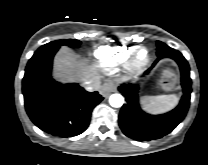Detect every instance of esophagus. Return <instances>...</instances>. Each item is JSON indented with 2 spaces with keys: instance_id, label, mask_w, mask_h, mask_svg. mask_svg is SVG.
Segmentation results:
<instances>
[{
  "instance_id": "34e87169",
  "label": "esophagus",
  "mask_w": 208,
  "mask_h": 165,
  "mask_svg": "<svg viewBox=\"0 0 208 165\" xmlns=\"http://www.w3.org/2000/svg\"><path fill=\"white\" fill-rule=\"evenodd\" d=\"M100 91L103 96L108 97L111 93L116 91V86L112 81H107L103 83L100 88Z\"/></svg>"
}]
</instances>
